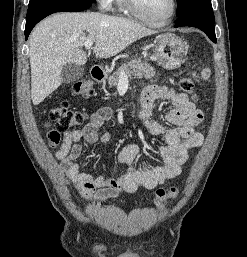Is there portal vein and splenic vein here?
<instances>
[{
	"mask_svg": "<svg viewBox=\"0 0 247 257\" xmlns=\"http://www.w3.org/2000/svg\"><path fill=\"white\" fill-rule=\"evenodd\" d=\"M84 46L87 50L91 49L93 46V41L91 40L85 41ZM120 81L128 82V76L125 74V72L120 73Z\"/></svg>",
	"mask_w": 247,
	"mask_h": 257,
	"instance_id": "obj_1",
	"label": "portal vein and splenic vein"
}]
</instances>
